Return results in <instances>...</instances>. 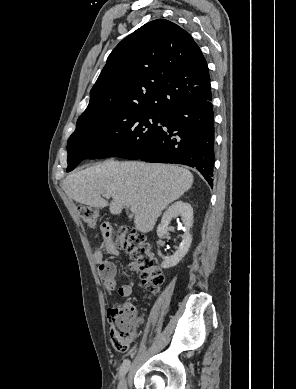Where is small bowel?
Segmentation results:
<instances>
[{"label":"small bowel","instance_id":"c3829d8e","mask_svg":"<svg viewBox=\"0 0 296 389\" xmlns=\"http://www.w3.org/2000/svg\"><path fill=\"white\" fill-rule=\"evenodd\" d=\"M101 231L104 237V242L93 252V260L98 266L100 277L104 282L105 290L111 294L116 289L122 297H128L132 294L133 287L130 284H121L118 286V275L116 266L107 258L117 254V249L112 244V231L107 223L101 225ZM128 269L131 272H137L139 266L136 262H130ZM125 303L124 306H129Z\"/></svg>","mask_w":296,"mask_h":389}]
</instances>
